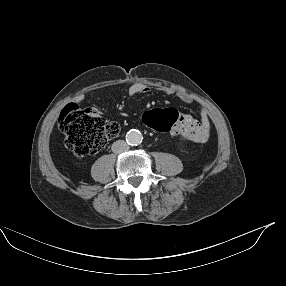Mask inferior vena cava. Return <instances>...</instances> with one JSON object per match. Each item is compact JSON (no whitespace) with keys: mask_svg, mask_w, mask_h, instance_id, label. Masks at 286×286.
<instances>
[{"mask_svg":"<svg viewBox=\"0 0 286 286\" xmlns=\"http://www.w3.org/2000/svg\"><path fill=\"white\" fill-rule=\"evenodd\" d=\"M129 150V146L124 140H118L112 144V151L114 153H122Z\"/></svg>","mask_w":286,"mask_h":286,"instance_id":"602c4592","label":"inferior vena cava"}]
</instances>
